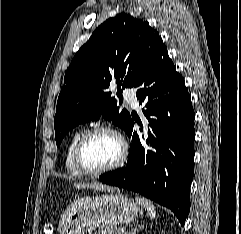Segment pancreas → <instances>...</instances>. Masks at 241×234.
I'll use <instances>...</instances> for the list:
<instances>
[{"label":"pancreas","instance_id":"obj_1","mask_svg":"<svg viewBox=\"0 0 241 234\" xmlns=\"http://www.w3.org/2000/svg\"><path fill=\"white\" fill-rule=\"evenodd\" d=\"M98 234H121V232L118 228H104Z\"/></svg>","mask_w":241,"mask_h":234}]
</instances>
